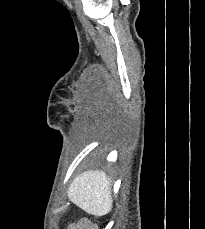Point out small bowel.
<instances>
[{
  "mask_svg": "<svg viewBox=\"0 0 205 229\" xmlns=\"http://www.w3.org/2000/svg\"><path fill=\"white\" fill-rule=\"evenodd\" d=\"M73 229H92V228L85 223H81L80 225L74 227Z\"/></svg>",
  "mask_w": 205,
  "mask_h": 229,
  "instance_id": "1",
  "label": "small bowel"
}]
</instances>
